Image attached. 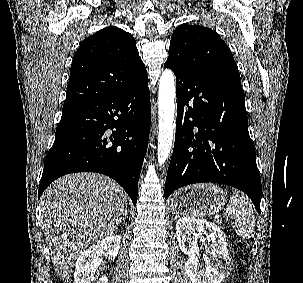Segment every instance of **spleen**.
Returning a JSON list of instances; mask_svg holds the SVG:
<instances>
[{
  "mask_svg": "<svg viewBox=\"0 0 303 283\" xmlns=\"http://www.w3.org/2000/svg\"><path fill=\"white\" fill-rule=\"evenodd\" d=\"M226 212L235 221V232L239 237L248 239L253 236L255 216L246 196H239V194L235 192L230 198Z\"/></svg>",
  "mask_w": 303,
  "mask_h": 283,
  "instance_id": "obj_1",
  "label": "spleen"
}]
</instances>
